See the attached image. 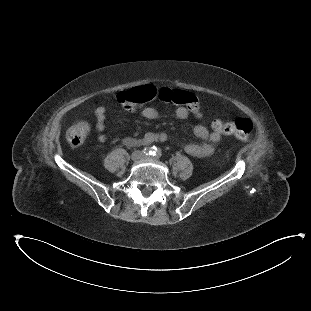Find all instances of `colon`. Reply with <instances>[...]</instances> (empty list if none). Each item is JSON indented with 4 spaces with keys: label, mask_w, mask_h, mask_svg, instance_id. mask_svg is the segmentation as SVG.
<instances>
[{
    "label": "colon",
    "mask_w": 311,
    "mask_h": 311,
    "mask_svg": "<svg viewBox=\"0 0 311 311\" xmlns=\"http://www.w3.org/2000/svg\"><path fill=\"white\" fill-rule=\"evenodd\" d=\"M157 99L165 103L181 105L193 115L202 116L201 105L197 97L182 89L163 87L158 90L155 86L148 85L130 90L118 98L120 104L127 111H135L139 104L152 102ZM94 104L96 106H101L103 104V99L101 97H96L94 99ZM228 123L229 120L215 119L211 127L217 133L229 134ZM250 127V121L246 117L240 116L239 120H237V131H239V137L237 138L240 141H249ZM90 129V124L86 120L74 123L67 129L65 134L68 144L72 148L81 146L88 137Z\"/></svg>",
    "instance_id": "obj_1"
}]
</instances>
